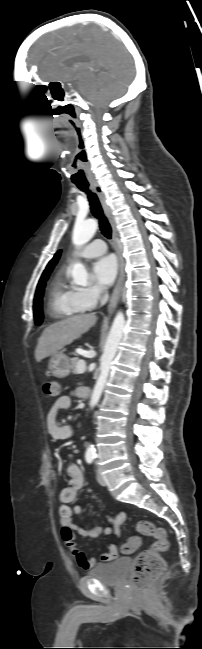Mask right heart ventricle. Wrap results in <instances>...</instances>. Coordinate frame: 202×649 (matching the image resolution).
I'll return each mask as SVG.
<instances>
[{"label":"right heart ventricle","mask_w":202,"mask_h":649,"mask_svg":"<svg viewBox=\"0 0 202 649\" xmlns=\"http://www.w3.org/2000/svg\"><path fill=\"white\" fill-rule=\"evenodd\" d=\"M78 289L68 281L63 270L52 278L48 292V310L56 318H67L83 312L86 308L78 299Z\"/></svg>","instance_id":"obj_1"}]
</instances>
